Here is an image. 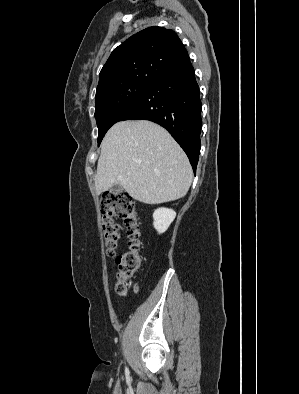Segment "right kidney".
Listing matches in <instances>:
<instances>
[{"mask_svg": "<svg viewBox=\"0 0 299 394\" xmlns=\"http://www.w3.org/2000/svg\"><path fill=\"white\" fill-rule=\"evenodd\" d=\"M176 217V212L168 208H158L153 213V226L159 234L164 233Z\"/></svg>", "mask_w": 299, "mask_h": 394, "instance_id": "obj_1", "label": "right kidney"}]
</instances>
